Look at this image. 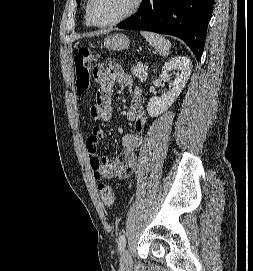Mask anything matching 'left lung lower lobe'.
<instances>
[{"label":"left lung lower lobe","mask_w":253,"mask_h":271,"mask_svg":"<svg viewBox=\"0 0 253 271\" xmlns=\"http://www.w3.org/2000/svg\"><path fill=\"white\" fill-rule=\"evenodd\" d=\"M212 10L213 0H143L139 11L119 28L179 37L199 61Z\"/></svg>","instance_id":"1"}]
</instances>
